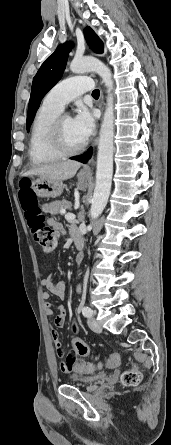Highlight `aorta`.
<instances>
[{"mask_svg": "<svg viewBox=\"0 0 171 445\" xmlns=\"http://www.w3.org/2000/svg\"><path fill=\"white\" fill-rule=\"evenodd\" d=\"M73 73L96 72L107 87V104L100 128L98 143L96 185L91 201L90 215L98 218L103 212L111 190L114 153V98L113 80L110 69L93 57L74 59L70 64Z\"/></svg>", "mask_w": 171, "mask_h": 445, "instance_id": "1", "label": "aorta"}]
</instances>
